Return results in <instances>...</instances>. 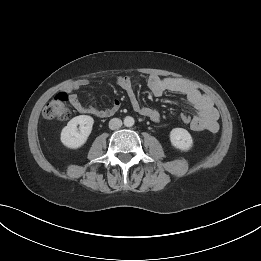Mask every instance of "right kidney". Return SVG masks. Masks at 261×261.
I'll return each instance as SVG.
<instances>
[{
    "label": "right kidney",
    "mask_w": 261,
    "mask_h": 261,
    "mask_svg": "<svg viewBox=\"0 0 261 261\" xmlns=\"http://www.w3.org/2000/svg\"><path fill=\"white\" fill-rule=\"evenodd\" d=\"M94 119L88 115H79L72 118L62 129L61 142L68 148L77 149L85 144L91 134ZM79 126V130L77 126Z\"/></svg>",
    "instance_id": "right-kidney-1"
}]
</instances>
